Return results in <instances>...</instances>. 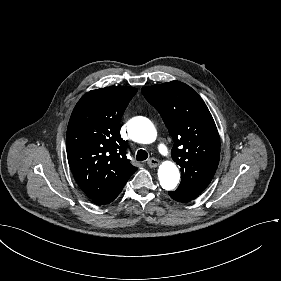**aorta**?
I'll return each mask as SVG.
<instances>
[{
    "label": "aorta",
    "instance_id": "1",
    "mask_svg": "<svg viewBox=\"0 0 281 281\" xmlns=\"http://www.w3.org/2000/svg\"><path fill=\"white\" fill-rule=\"evenodd\" d=\"M128 131L131 138L138 143L150 144L157 137L154 125L145 117H138L130 121ZM158 178L163 189L173 190L179 183L180 173L173 162L165 161L159 166Z\"/></svg>",
    "mask_w": 281,
    "mask_h": 281
}]
</instances>
